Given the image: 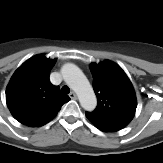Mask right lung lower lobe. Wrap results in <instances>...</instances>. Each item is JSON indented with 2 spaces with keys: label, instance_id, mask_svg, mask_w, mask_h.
Segmentation results:
<instances>
[{
  "label": "right lung lower lobe",
  "instance_id": "98d812e1",
  "mask_svg": "<svg viewBox=\"0 0 163 163\" xmlns=\"http://www.w3.org/2000/svg\"><path fill=\"white\" fill-rule=\"evenodd\" d=\"M40 126H43V125H37V127H40ZM31 127H35V126H31Z\"/></svg>",
  "mask_w": 163,
  "mask_h": 163
}]
</instances>
